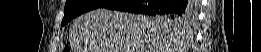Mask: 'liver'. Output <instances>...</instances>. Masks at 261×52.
I'll return each mask as SVG.
<instances>
[{"label": "liver", "instance_id": "6515ba94", "mask_svg": "<svg viewBox=\"0 0 261 52\" xmlns=\"http://www.w3.org/2000/svg\"><path fill=\"white\" fill-rule=\"evenodd\" d=\"M75 52H179L172 23L99 8L77 17L69 30Z\"/></svg>", "mask_w": 261, "mask_h": 52}]
</instances>
